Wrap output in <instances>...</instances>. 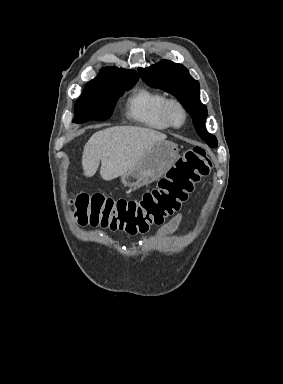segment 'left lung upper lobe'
Here are the masks:
<instances>
[{"mask_svg":"<svg viewBox=\"0 0 283 384\" xmlns=\"http://www.w3.org/2000/svg\"><path fill=\"white\" fill-rule=\"evenodd\" d=\"M141 78L150 86L176 96L193 119L198 135L210 146L217 147V139L205 127L207 108L199 100V82L181 64L162 60L148 68H140Z\"/></svg>","mask_w":283,"mask_h":384,"instance_id":"5c2ea615","label":"left lung upper lobe"}]
</instances>
